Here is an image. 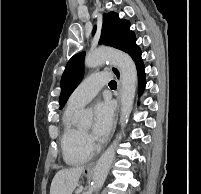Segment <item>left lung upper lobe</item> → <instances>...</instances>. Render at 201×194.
<instances>
[{"label": "left lung upper lobe", "instance_id": "1", "mask_svg": "<svg viewBox=\"0 0 201 194\" xmlns=\"http://www.w3.org/2000/svg\"><path fill=\"white\" fill-rule=\"evenodd\" d=\"M129 27V22L119 19L118 14L114 12L104 14L99 44L112 46L129 54L136 46L135 34ZM84 57V52L78 53L66 65L61 78L60 109L64 107L68 97L83 77Z\"/></svg>", "mask_w": 201, "mask_h": 194}]
</instances>
